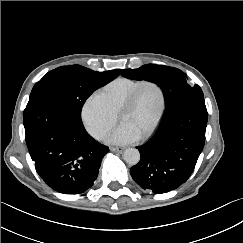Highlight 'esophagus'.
I'll return each mask as SVG.
<instances>
[{
	"label": "esophagus",
	"mask_w": 243,
	"mask_h": 243,
	"mask_svg": "<svg viewBox=\"0 0 243 243\" xmlns=\"http://www.w3.org/2000/svg\"><path fill=\"white\" fill-rule=\"evenodd\" d=\"M125 148L122 147H111L110 150L112 152H118V153H122L124 151Z\"/></svg>",
	"instance_id": "34e87169"
}]
</instances>
